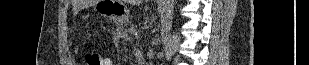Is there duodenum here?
I'll use <instances>...</instances> for the list:
<instances>
[{
  "label": "duodenum",
  "instance_id": "duodenum-1",
  "mask_svg": "<svg viewBox=\"0 0 309 65\" xmlns=\"http://www.w3.org/2000/svg\"><path fill=\"white\" fill-rule=\"evenodd\" d=\"M135 56H136V59H137L139 65H144L145 64L144 55H143V53L140 50H137L135 52Z\"/></svg>",
  "mask_w": 309,
  "mask_h": 65
}]
</instances>
